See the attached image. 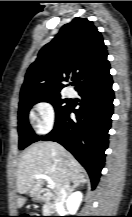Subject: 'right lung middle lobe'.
<instances>
[{
    "instance_id": "dd1d6c3e",
    "label": "right lung middle lobe",
    "mask_w": 132,
    "mask_h": 217,
    "mask_svg": "<svg viewBox=\"0 0 132 217\" xmlns=\"http://www.w3.org/2000/svg\"><path fill=\"white\" fill-rule=\"evenodd\" d=\"M38 102H49L54 106L56 119L69 106L65 99H61L60 94L26 96L20 98L18 112V133L19 149H24L31 143L40 140L42 137L37 136L28 123V112L30 108Z\"/></svg>"
}]
</instances>
